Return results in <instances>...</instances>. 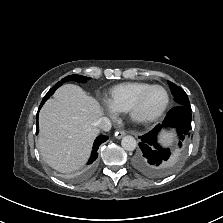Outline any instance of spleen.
I'll use <instances>...</instances> for the list:
<instances>
[{"label":"spleen","instance_id":"obj_1","mask_svg":"<svg viewBox=\"0 0 223 223\" xmlns=\"http://www.w3.org/2000/svg\"><path fill=\"white\" fill-rule=\"evenodd\" d=\"M174 141V134L171 132H165L162 133L161 138H160V142L165 145V146H169L173 143Z\"/></svg>","mask_w":223,"mask_h":223}]
</instances>
